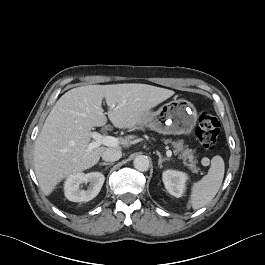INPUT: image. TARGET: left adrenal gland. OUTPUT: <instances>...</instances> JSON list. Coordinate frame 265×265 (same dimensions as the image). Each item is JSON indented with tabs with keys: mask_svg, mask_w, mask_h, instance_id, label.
I'll use <instances>...</instances> for the list:
<instances>
[{
	"mask_svg": "<svg viewBox=\"0 0 265 265\" xmlns=\"http://www.w3.org/2000/svg\"><path fill=\"white\" fill-rule=\"evenodd\" d=\"M157 155H158V157H159V160H158V166H159L160 168L162 167V163H163V162L170 160L169 158H162L160 152H157Z\"/></svg>",
	"mask_w": 265,
	"mask_h": 265,
	"instance_id": "obj_1",
	"label": "left adrenal gland"
}]
</instances>
